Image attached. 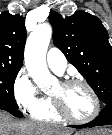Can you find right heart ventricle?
<instances>
[{"mask_svg":"<svg viewBox=\"0 0 112 135\" xmlns=\"http://www.w3.org/2000/svg\"><path fill=\"white\" fill-rule=\"evenodd\" d=\"M32 116L37 120L46 122H58L61 119V117L54 110L50 99H48L46 104L41 109L34 112Z\"/></svg>","mask_w":112,"mask_h":135,"instance_id":"obj_1","label":"right heart ventricle"}]
</instances>
